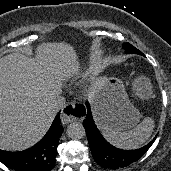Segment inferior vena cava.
<instances>
[{
	"mask_svg": "<svg viewBox=\"0 0 171 171\" xmlns=\"http://www.w3.org/2000/svg\"><path fill=\"white\" fill-rule=\"evenodd\" d=\"M65 103H66L65 98L64 97H59L55 101V103L53 105V108L58 111V110L62 109L65 106Z\"/></svg>",
	"mask_w": 171,
	"mask_h": 171,
	"instance_id": "602c4592",
	"label": "inferior vena cava"
}]
</instances>
